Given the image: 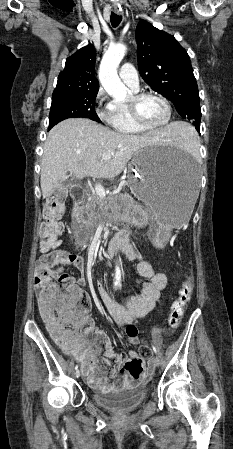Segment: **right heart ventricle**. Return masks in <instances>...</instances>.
<instances>
[{"label": "right heart ventricle", "instance_id": "e07e8e85", "mask_svg": "<svg viewBox=\"0 0 233 449\" xmlns=\"http://www.w3.org/2000/svg\"><path fill=\"white\" fill-rule=\"evenodd\" d=\"M133 90L136 91L137 89ZM108 122L115 131L121 134L137 135L147 131L132 120L125 102H113Z\"/></svg>", "mask_w": 233, "mask_h": 449}]
</instances>
